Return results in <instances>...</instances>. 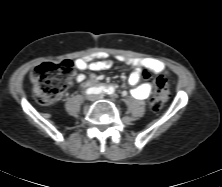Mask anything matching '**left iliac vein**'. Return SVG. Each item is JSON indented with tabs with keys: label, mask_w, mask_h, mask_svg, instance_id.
<instances>
[{
	"label": "left iliac vein",
	"mask_w": 222,
	"mask_h": 187,
	"mask_svg": "<svg viewBox=\"0 0 222 187\" xmlns=\"http://www.w3.org/2000/svg\"><path fill=\"white\" fill-rule=\"evenodd\" d=\"M95 98H96V99H99V98H101V96H100V95H96Z\"/></svg>",
	"instance_id": "left-iliac-vein-1"
}]
</instances>
